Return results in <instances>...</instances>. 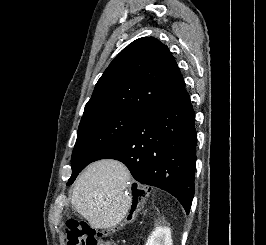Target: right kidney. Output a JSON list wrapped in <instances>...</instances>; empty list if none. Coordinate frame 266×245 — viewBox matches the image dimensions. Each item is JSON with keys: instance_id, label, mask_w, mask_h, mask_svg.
Instances as JSON below:
<instances>
[{"instance_id": "obj_1", "label": "right kidney", "mask_w": 266, "mask_h": 245, "mask_svg": "<svg viewBox=\"0 0 266 245\" xmlns=\"http://www.w3.org/2000/svg\"><path fill=\"white\" fill-rule=\"evenodd\" d=\"M146 245H155V229L151 233V237H149Z\"/></svg>"}]
</instances>
